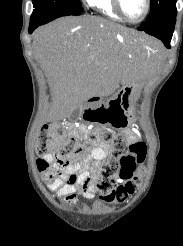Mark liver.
I'll return each mask as SVG.
<instances>
[{
	"label": "liver",
	"instance_id": "liver-1",
	"mask_svg": "<svg viewBox=\"0 0 183 246\" xmlns=\"http://www.w3.org/2000/svg\"><path fill=\"white\" fill-rule=\"evenodd\" d=\"M159 48L158 42L132 29L89 15L58 19L33 34V53L60 117L91 97L112 94L120 83L143 79Z\"/></svg>",
	"mask_w": 183,
	"mask_h": 246
}]
</instances>
